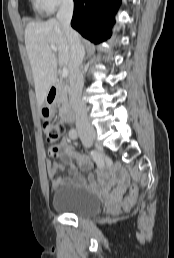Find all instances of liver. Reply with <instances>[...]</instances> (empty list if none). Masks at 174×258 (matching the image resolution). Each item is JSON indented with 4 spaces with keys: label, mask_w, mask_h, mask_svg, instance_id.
<instances>
[{
    "label": "liver",
    "mask_w": 174,
    "mask_h": 258,
    "mask_svg": "<svg viewBox=\"0 0 174 258\" xmlns=\"http://www.w3.org/2000/svg\"><path fill=\"white\" fill-rule=\"evenodd\" d=\"M25 45L30 61L38 107L44 104L49 90L57 80V66L70 65V47L58 20L28 23L25 29ZM51 45L57 47L58 56Z\"/></svg>",
    "instance_id": "obj_1"
}]
</instances>
